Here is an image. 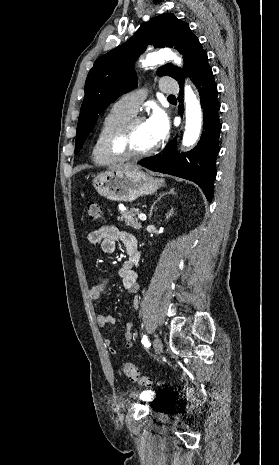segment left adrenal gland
Returning <instances> with one entry per match:
<instances>
[{
  "label": "left adrenal gland",
  "mask_w": 279,
  "mask_h": 465,
  "mask_svg": "<svg viewBox=\"0 0 279 465\" xmlns=\"http://www.w3.org/2000/svg\"><path fill=\"white\" fill-rule=\"evenodd\" d=\"M170 194H176L175 191H174V189H170V191H168V192H162V193L159 194V197L157 198V200H156V201L153 203V205L151 206L150 214H149V219H150L151 216H152V212H153L154 207H155V205L157 204V202H159V201L161 200V198H163L164 196L170 195Z\"/></svg>",
  "instance_id": "a2214340"
}]
</instances>
